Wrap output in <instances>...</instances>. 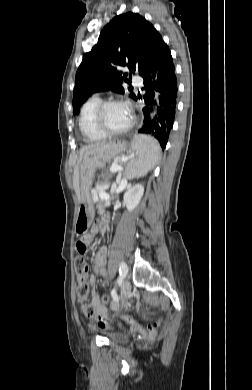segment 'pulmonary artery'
I'll return each mask as SVG.
<instances>
[{"label":"pulmonary artery","mask_w":252,"mask_h":390,"mask_svg":"<svg viewBox=\"0 0 252 390\" xmlns=\"http://www.w3.org/2000/svg\"><path fill=\"white\" fill-rule=\"evenodd\" d=\"M133 81L136 85H140L141 84V79L137 76L133 77Z\"/></svg>","instance_id":"pulmonary-artery-1"}]
</instances>
